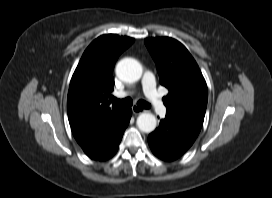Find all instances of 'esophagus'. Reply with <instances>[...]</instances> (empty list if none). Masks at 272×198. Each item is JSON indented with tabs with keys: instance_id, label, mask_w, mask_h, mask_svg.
Returning a JSON list of instances; mask_svg holds the SVG:
<instances>
[{
	"instance_id": "1",
	"label": "esophagus",
	"mask_w": 272,
	"mask_h": 198,
	"mask_svg": "<svg viewBox=\"0 0 272 198\" xmlns=\"http://www.w3.org/2000/svg\"><path fill=\"white\" fill-rule=\"evenodd\" d=\"M132 111L135 115L142 114V113L146 112V110H144L136 105L132 106Z\"/></svg>"
}]
</instances>
